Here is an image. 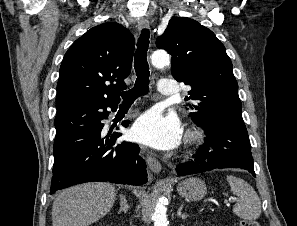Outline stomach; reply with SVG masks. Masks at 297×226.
<instances>
[{"mask_svg":"<svg viewBox=\"0 0 297 226\" xmlns=\"http://www.w3.org/2000/svg\"><path fill=\"white\" fill-rule=\"evenodd\" d=\"M177 191L180 196L197 201L205 197L207 194V187L205 182L201 179L191 177L180 182L177 186Z\"/></svg>","mask_w":297,"mask_h":226,"instance_id":"1","label":"stomach"}]
</instances>
